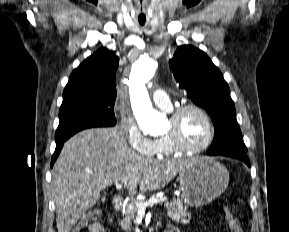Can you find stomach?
<instances>
[{"label":"stomach","instance_id":"obj_1","mask_svg":"<svg viewBox=\"0 0 289 232\" xmlns=\"http://www.w3.org/2000/svg\"><path fill=\"white\" fill-rule=\"evenodd\" d=\"M181 198L189 206L201 207L220 196L229 183L224 165L206 157L193 158L179 173Z\"/></svg>","mask_w":289,"mask_h":232}]
</instances>
